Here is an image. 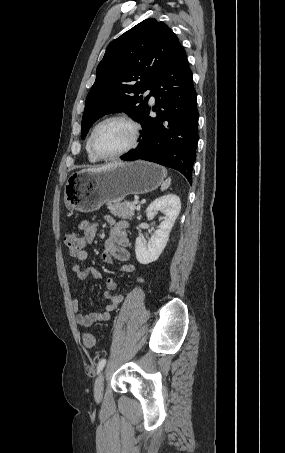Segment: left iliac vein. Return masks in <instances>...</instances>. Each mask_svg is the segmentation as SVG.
Here are the masks:
<instances>
[{"mask_svg":"<svg viewBox=\"0 0 285 453\" xmlns=\"http://www.w3.org/2000/svg\"><path fill=\"white\" fill-rule=\"evenodd\" d=\"M103 387H104V372H101L95 382L94 387V396L97 401H100L102 399Z\"/></svg>","mask_w":285,"mask_h":453,"instance_id":"4c4485c4","label":"left iliac vein"}]
</instances>
